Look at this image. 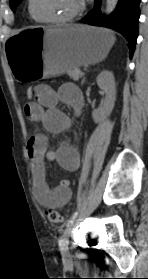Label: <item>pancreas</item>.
I'll use <instances>...</instances> for the list:
<instances>
[{"label":"pancreas","mask_w":148,"mask_h":279,"mask_svg":"<svg viewBox=\"0 0 148 279\" xmlns=\"http://www.w3.org/2000/svg\"><path fill=\"white\" fill-rule=\"evenodd\" d=\"M67 75L74 81H78L83 76L82 72L79 69L69 70L67 71Z\"/></svg>","instance_id":"cf45deb5"}]
</instances>
